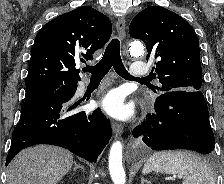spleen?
<instances>
[{"instance_id":"spleen-1","label":"spleen","mask_w":224,"mask_h":184,"mask_svg":"<svg viewBox=\"0 0 224 184\" xmlns=\"http://www.w3.org/2000/svg\"><path fill=\"white\" fill-rule=\"evenodd\" d=\"M160 172L185 175L183 184H215L211 167L198 155L188 151H164L152 155L142 173Z\"/></svg>"}]
</instances>
